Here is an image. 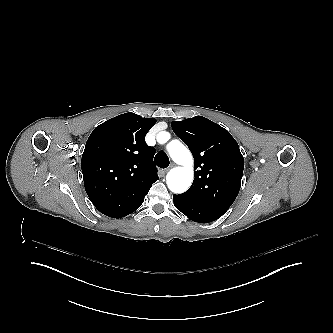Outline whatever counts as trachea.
<instances>
[{
	"label": "trachea",
	"mask_w": 333,
	"mask_h": 333,
	"mask_svg": "<svg viewBox=\"0 0 333 333\" xmlns=\"http://www.w3.org/2000/svg\"><path fill=\"white\" fill-rule=\"evenodd\" d=\"M155 164L160 168H166L169 166V158L164 152H159L154 158Z\"/></svg>",
	"instance_id": "trachea-1"
}]
</instances>
